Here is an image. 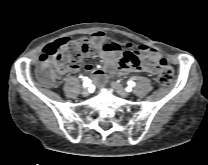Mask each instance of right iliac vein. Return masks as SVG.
Returning a JSON list of instances; mask_svg holds the SVG:
<instances>
[{
	"mask_svg": "<svg viewBox=\"0 0 208 165\" xmlns=\"http://www.w3.org/2000/svg\"><path fill=\"white\" fill-rule=\"evenodd\" d=\"M89 93H90L89 89H83V91H82V95L85 97H87L89 95Z\"/></svg>",
	"mask_w": 208,
	"mask_h": 165,
	"instance_id": "63e3f726",
	"label": "right iliac vein"
}]
</instances>
